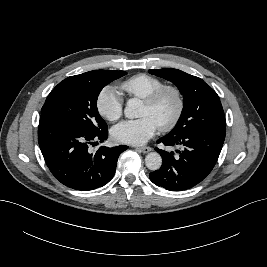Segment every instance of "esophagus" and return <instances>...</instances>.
<instances>
[{"instance_id": "esophagus-1", "label": "esophagus", "mask_w": 267, "mask_h": 267, "mask_svg": "<svg viewBox=\"0 0 267 267\" xmlns=\"http://www.w3.org/2000/svg\"><path fill=\"white\" fill-rule=\"evenodd\" d=\"M138 151L142 152V153H148L151 151V148L150 147H140V148H137Z\"/></svg>"}]
</instances>
